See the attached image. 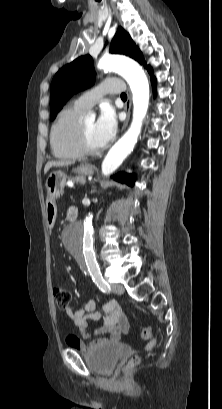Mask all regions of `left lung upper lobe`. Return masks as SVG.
<instances>
[{
	"label": "left lung upper lobe",
	"mask_w": 222,
	"mask_h": 409,
	"mask_svg": "<svg viewBox=\"0 0 222 409\" xmlns=\"http://www.w3.org/2000/svg\"><path fill=\"white\" fill-rule=\"evenodd\" d=\"M110 52L127 55L144 64L150 74L153 72L152 68L145 63L142 53L129 34L121 27L118 28L111 42ZM94 78L93 59L89 55L81 56L63 66L54 76L50 87L51 120L74 93L93 85Z\"/></svg>",
	"instance_id": "left-lung-upper-lobe-1"
}]
</instances>
